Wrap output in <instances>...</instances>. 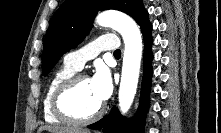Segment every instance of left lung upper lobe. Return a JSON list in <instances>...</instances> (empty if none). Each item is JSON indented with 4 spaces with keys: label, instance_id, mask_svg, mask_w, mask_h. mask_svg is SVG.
Returning a JSON list of instances; mask_svg holds the SVG:
<instances>
[{
    "label": "left lung upper lobe",
    "instance_id": "1",
    "mask_svg": "<svg viewBox=\"0 0 221 133\" xmlns=\"http://www.w3.org/2000/svg\"><path fill=\"white\" fill-rule=\"evenodd\" d=\"M107 9L128 14L141 28L149 23L142 0H66L55 12L45 37L42 56L44 75L65 52L85 38L98 11Z\"/></svg>",
    "mask_w": 221,
    "mask_h": 133
}]
</instances>
